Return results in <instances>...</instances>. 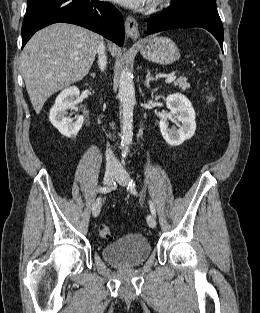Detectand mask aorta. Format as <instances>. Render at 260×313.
Segmentation results:
<instances>
[{
    "instance_id": "1",
    "label": "aorta",
    "mask_w": 260,
    "mask_h": 313,
    "mask_svg": "<svg viewBox=\"0 0 260 313\" xmlns=\"http://www.w3.org/2000/svg\"><path fill=\"white\" fill-rule=\"evenodd\" d=\"M120 123L122 154L128 153L133 138V111L135 105V89L131 74L123 68L119 77Z\"/></svg>"
}]
</instances>
